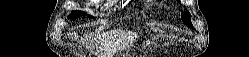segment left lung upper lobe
<instances>
[{"label":"left lung upper lobe","instance_id":"5c2ea615","mask_svg":"<svg viewBox=\"0 0 249 57\" xmlns=\"http://www.w3.org/2000/svg\"><path fill=\"white\" fill-rule=\"evenodd\" d=\"M187 14L191 16L189 12L181 14L182 20L188 27L193 28L190 17Z\"/></svg>","mask_w":249,"mask_h":57}]
</instances>
